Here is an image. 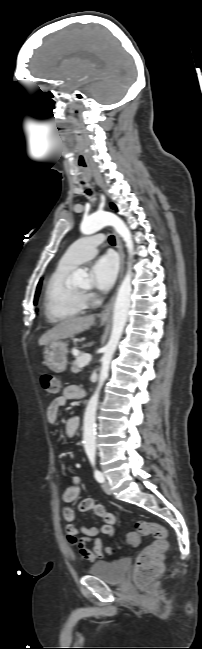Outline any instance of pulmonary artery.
Segmentation results:
<instances>
[{
	"label": "pulmonary artery",
	"mask_w": 202,
	"mask_h": 649,
	"mask_svg": "<svg viewBox=\"0 0 202 649\" xmlns=\"http://www.w3.org/2000/svg\"><path fill=\"white\" fill-rule=\"evenodd\" d=\"M102 235L83 237L71 244L64 253L61 262L76 267L80 263L92 258L103 242Z\"/></svg>",
	"instance_id": "1"
}]
</instances>
